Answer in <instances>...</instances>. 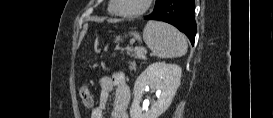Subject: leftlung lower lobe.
Returning a JSON list of instances; mask_svg holds the SVG:
<instances>
[{"mask_svg":"<svg viewBox=\"0 0 273 118\" xmlns=\"http://www.w3.org/2000/svg\"><path fill=\"white\" fill-rule=\"evenodd\" d=\"M194 9V0H162L145 19L164 21L177 27L194 44L197 30Z\"/></svg>","mask_w":273,"mask_h":118,"instance_id":"0a47b994","label":"left lung lower lobe"}]
</instances>
